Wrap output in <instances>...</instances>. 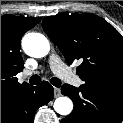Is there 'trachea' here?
I'll list each match as a JSON object with an SVG mask.
<instances>
[{
	"label": "trachea",
	"instance_id": "3493384b",
	"mask_svg": "<svg viewBox=\"0 0 123 123\" xmlns=\"http://www.w3.org/2000/svg\"><path fill=\"white\" fill-rule=\"evenodd\" d=\"M40 81H41V78L38 75H33L29 79V83L32 85H37L40 83ZM50 83L57 88L61 86V80L56 77L51 78Z\"/></svg>",
	"mask_w": 123,
	"mask_h": 123
}]
</instances>
